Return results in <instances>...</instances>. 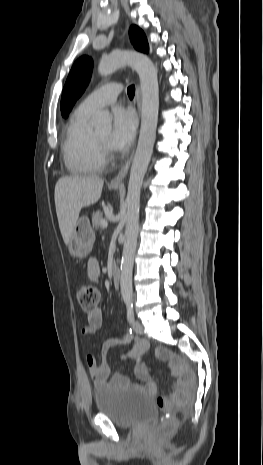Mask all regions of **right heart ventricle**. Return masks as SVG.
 Instances as JSON below:
<instances>
[{
	"label": "right heart ventricle",
	"instance_id": "e07e8e85",
	"mask_svg": "<svg viewBox=\"0 0 263 465\" xmlns=\"http://www.w3.org/2000/svg\"><path fill=\"white\" fill-rule=\"evenodd\" d=\"M91 114L77 109L71 116L62 142L63 159L67 169L77 175L95 174L105 166L104 156L95 137L88 130Z\"/></svg>",
	"mask_w": 263,
	"mask_h": 465
}]
</instances>
